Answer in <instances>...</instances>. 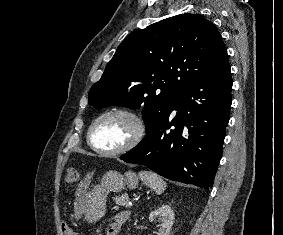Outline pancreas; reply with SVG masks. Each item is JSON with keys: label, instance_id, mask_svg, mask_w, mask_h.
<instances>
[{"label": "pancreas", "instance_id": "cf45deb5", "mask_svg": "<svg viewBox=\"0 0 283 235\" xmlns=\"http://www.w3.org/2000/svg\"><path fill=\"white\" fill-rule=\"evenodd\" d=\"M114 201L119 206H124L126 208L131 207L129 204V196L127 194H123L122 196H116Z\"/></svg>", "mask_w": 283, "mask_h": 235}]
</instances>
